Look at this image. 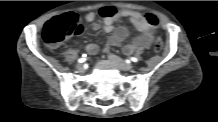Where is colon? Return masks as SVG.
Masks as SVG:
<instances>
[{
  "instance_id": "1",
  "label": "colon",
  "mask_w": 218,
  "mask_h": 122,
  "mask_svg": "<svg viewBox=\"0 0 218 122\" xmlns=\"http://www.w3.org/2000/svg\"><path fill=\"white\" fill-rule=\"evenodd\" d=\"M148 22L158 25V19L153 14L146 16ZM83 31V26L79 16L74 12H69L56 16L46 23L43 29V39L50 47L58 46L63 40L71 36H77ZM162 49L161 40L156 37L154 39V50L159 52Z\"/></svg>"
}]
</instances>
